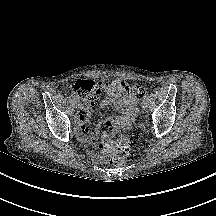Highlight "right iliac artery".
<instances>
[{"label":"right iliac artery","mask_w":216,"mask_h":216,"mask_svg":"<svg viewBox=\"0 0 216 216\" xmlns=\"http://www.w3.org/2000/svg\"><path fill=\"white\" fill-rule=\"evenodd\" d=\"M72 98H73L74 101L77 100V97H76V96H72Z\"/></svg>","instance_id":"right-iliac-artery-1"}]
</instances>
